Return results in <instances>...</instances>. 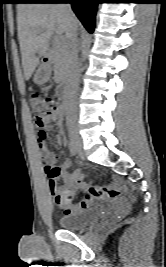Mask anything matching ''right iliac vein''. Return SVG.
I'll use <instances>...</instances> for the list:
<instances>
[{
	"mask_svg": "<svg viewBox=\"0 0 166 267\" xmlns=\"http://www.w3.org/2000/svg\"><path fill=\"white\" fill-rule=\"evenodd\" d=\"M70 138L73 140L77 150L81 151L82 149L81 137L79 136L77 128L74 125L70 126Z\"/></svg>",
	"mask_w": 166,
	"mask_h": 267,
	"instance_id": "1",
	"label": "right iliac vein"
}]
</instances>
